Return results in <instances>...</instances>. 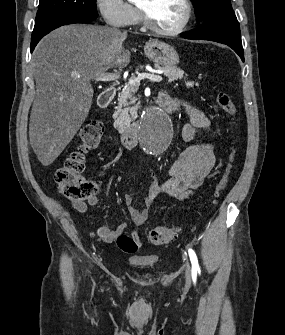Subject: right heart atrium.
<instances>
[{
	"mask_svg": "<svg viewBox=\"0 0 285 335\" xmlns=\"http://www.w3.org/2000/svg\"><path fill=\"white\" fill-rule=\"evenodd\" d=\"M100 9L106 24L113 28L130 26L138 16L132 1H101Z\"/></svg>",
	"mask_w": 285,
	"mask_h": 335,
	"instance_id": "right-heart-atrium-1",
	"label": "right heart atrium"
}]
</instances>
